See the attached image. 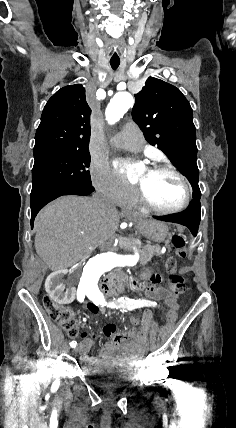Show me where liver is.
Masks as SVG:
<instances>
[{"label": "liver", "mask_w": 236, "mask_h": 428, "mask_svg": "<svg viewBox=\"0 0 236 428\" xmlns=\"http://www.w3.org/2000/svg\"><path fill=\"white\" fill-rule=\"evenodd\" d=\"M120 218L97 198L62 196L35 220V250L50 270L69 268L96 248L112 250Z\"/></svg>", "instance_id": "obj_1"}]
</instances>
